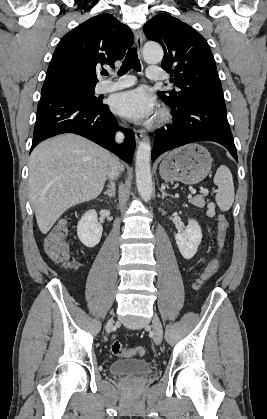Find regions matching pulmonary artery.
I'll use <instances>...</instances> for the list:
<instances>
[{
  "instance_id": "1",
  "label": "pulmonary artery",
  "mask_w": 267,
  "mask_h": 419,
  "mask_svg": "<svg viewBox=\"0 0 267 419\" xmlns=\"http://www.w3.org/2000/svg\"><path fill=\"white\" fill-rule=\"evenodd\" d=\"M147 77L152 80H161L164 78L163 71L155 66H150L147 70ZM135 83V79L132 76H122L116 79V81H102L98 86V91L101 93L116 91L129 87Z\"/></svg>"
}]
</instances>
